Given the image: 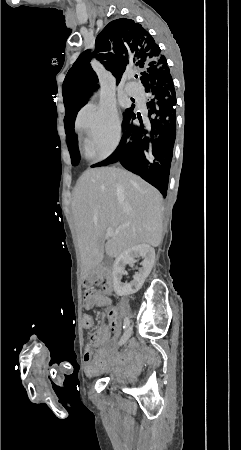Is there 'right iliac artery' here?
I'll use <instances>...</instances> for the list:
<instances>
[{
    "mask_svg": "<svg viewBox=\"0 0 241 450\" xmlns=\"http://www.w3.org/2000/svg\"><path fill=\"white\" fill-rule=\"evenodd\" d=\"M129 319L128 318H126L125 320H124V325H123V329H126L128 326H129Z\"/></svg>",
    "mask_w": 241,
    "mask_h": 450,
    "instance_id": "obj_1",
    "label": "right iliac artery"
}]
</instances>
